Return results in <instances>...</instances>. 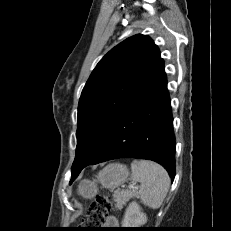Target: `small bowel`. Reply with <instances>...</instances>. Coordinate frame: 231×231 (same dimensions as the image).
I'll return each instance as SVG.
<instances>
[{
    "label": "small bowel",
    "mask_w": 231,
    "mask_h": 231,
    "mask_svg": "<svg viewBox=\"0 0 231 231\" xmlns=\"http://www.w3.org/2000/svg\"><path fill=\"white\" fill-rule=\"evenodd\" d=\"M117 218L114 216H110L107 218V221L105 222V229H107L106 231H109L111 228L117 226Z\"/></svg>",
    "instance_id": "small-bowel-1"
}]
</instances>
